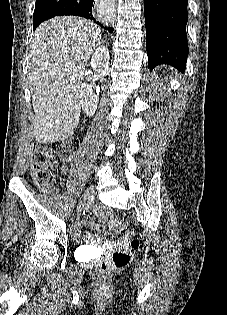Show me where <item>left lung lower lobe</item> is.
Segmentation results:
<instances>
[{
  "mask_svg": "<svg viewBox=\"0 0 227 315\" xmlns=\"http://www.w3.org/2000/svg\"><path fill=\"white\" fill-rule=\"evenodd\" d=\"M187 3L188 0H144L150 69L168 64L184 71L188 56Z\"/></svg>",
  "mask_w": 227,
  "mask_h": 315,
  "instance_id": "obj_1",
  "label": "left lung lower lobe"
}]
</instances>
